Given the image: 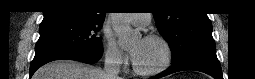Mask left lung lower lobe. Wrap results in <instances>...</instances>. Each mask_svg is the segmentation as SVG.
I'll list each match as a JSON object with an SVG mask.
<instances>
[{
	"label": "left lung lower lobe",
	"mask_w": 255,
	"mask_h": 79,
	"mask_svg": "<svg viewBox=\"0 0 255 79\" xmlns=\"http://www.w3.org/2000/svg\"><path fill=\"white\" fill-rule=\"evenodd\" d=\"M184 70H197L209 74L215 79H223L220 63L217 59L215 50H204L195 53L177 64H172V67L168 70L151 79H158Z\"/></svg>",
	"instance_id": "0a47b994"
}]
</instances>
